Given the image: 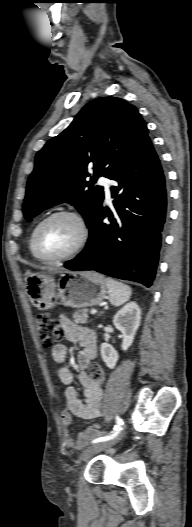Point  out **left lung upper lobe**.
<instances>
[{
  "label": "left lung upper lobe",
  "instance_id": "5c2ea615",
  "mask_svg": "<svg viewBox=\"0 0 192 527\" xmlns=\"http://www.w3.org/2000/svg\"><path fill=\"white\" fill-rule=\"evenodd\" d=\"M149 140L138 110L117 97H100L82 108L70 126L37 153L27 182L23 213L28 221L46 208L67 201L89 228L104 199L103 187L86 181L89 163L94 177L117 176L139 147Z\"/></svg>",
  "mask_w": 192,
  "mask_h": 527
}]
</instances>
